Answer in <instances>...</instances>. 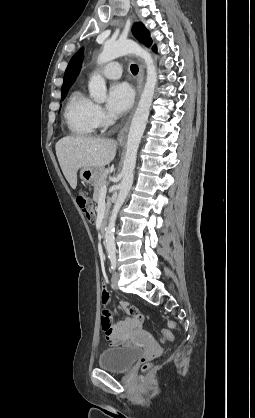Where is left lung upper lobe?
<instances>
[{"label": "left lung upper lobe", "mask_w": 255, "mask_h": 418, "mask_svg": "<svg viewBox=\"0 0 255 418\" xmlns=\"http://www.w3.org/2000/svg\"><path fill=\"white\" fill-rule=\"evenodd\" d=\"M133 35L146 46L151 45L150 34L142 23H136L132 29ZM155 47H153L154 49Z\"/></svg>", "instance_id": "1"}]
</instances>
